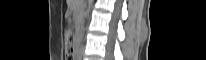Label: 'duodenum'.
<instances>
[{"instance_id": "1", "label": "duodenum", "mask_w": 206, "mask_h": 60, "mask_svg": "<svg viewBox=\"0 0 206 60\" xmlns=\"http://www.w3.org/2000/svg\"><path fill=\"white\" fill-rule=\"evenodd\" d=\"M76 33L78 34L79 37L83 36V30L82 29H77Z\"/></svg>"}]
</instances>
